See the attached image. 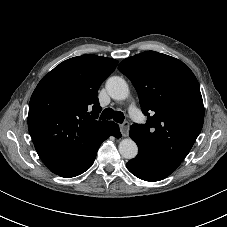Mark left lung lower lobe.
<instances>
[{
    "instance_id": "1",
    "label": "left lung lower lobe",
    "mask_w": 227,
    "mask_h": 227,
    "mask_svg": "<svg viewBox=\"0 0 227 227\" xmlns=\"http://www.w3.org/2000/svg\"><path fill=\"white\" fill-rule=\"evenodd\" d=\"M130 137L135 141L131 131ZM138 149V155L127 163V168L142 180L152 182L162 180L180 165L179 162L164 159L143 147H138Z\"/></svg>"
}]
</instances>
